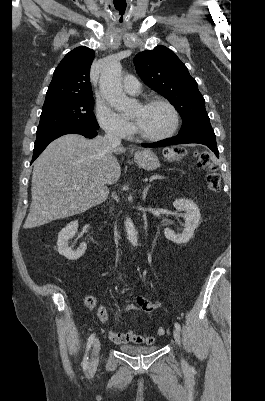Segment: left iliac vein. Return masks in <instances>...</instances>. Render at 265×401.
Returning <instances> with one entry per match:
<instances>
[{"label":"left iliac vein","mask_w":265,"mask_h":401,"mask_svg":"<svg viewBox=\"0 0 265 401\" xmlns=\"http://www.w3.org/2000/svg\"><path fill=\"white\" fill-rule=\"evenodd\" d=\"M173 336H174L175 342H176L178 345H181L180 332H179L177 329H175V330L173 331Z\"/></svg>","instance_id":"left-iliac-vein-1"}]
</instances>
